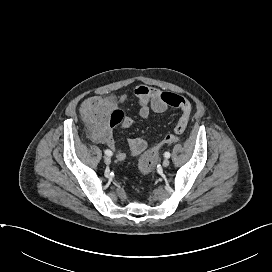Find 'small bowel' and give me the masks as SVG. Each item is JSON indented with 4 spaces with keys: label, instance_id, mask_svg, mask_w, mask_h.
Instances as JSON below:
<instances>
[{
    "label": "small bowel",
    "instance_id": "obj_1",
    "mask_svg": "<svg viewBox=\"0 0 272 272\" xmlns=\"http://www.w3.org/2000/svg\"><path fill=\"white\" fill-rule=\"evenodd\" d=\"M134 95L138 101L139 114L144 119L148 118L151 112L163 113L169 108L179 109L181 111V116L176 123L175 133L182 134L184 132L192 110V105L188 99L176 93L162 91L143 84L135 87ZM127 100V95H122L119 98L120 103H124ZM131 124V118L126 117L120 127L128 128ZM94 139L98 142L105 143L110 149H112L118 160H123L125 158V152L115 143L114 133L112 130H107V132L102 136H94ZM128 146L133 154L138 155L146 150L148 144L142 138H132L128 141Z\"/></svg>",
    "mask_w": 272,
    "mask_h": 272
}]
</instances>
